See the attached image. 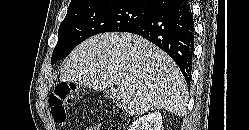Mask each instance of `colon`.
<instances>
[{
	"mask_svg": "<svg viewBox=\"0 0 249 130\" xmlns=\"http://www.w3.org/2000/svg\"><path fill=\"white\" fill-rule=\"evenodd\" d=\"M78 100V89L75 84L58 83L49 95L52 117L59 126L67 120V110L75 106Z\"/></svg>",
	"mask_w": 249,
	"mask_h": 130,
	"instance_id": "5ec220e1",
	"label": "colon"
}]
</instances>
